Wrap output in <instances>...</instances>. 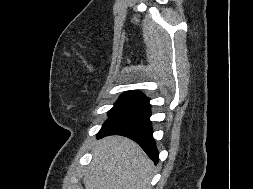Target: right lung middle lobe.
Returning a JSON list of instances; mask_svg holds the SVG:
<instances>
[{
    "instance_id": "dd1d6c3e",
    "label": "right lung middle lobe",
    "mask_w": 253,
    "mask_h": 189,
    "mask_svg": "<svg viewBox=\"0 0 253 189\" xmlns=\"http://www.w3.org/2000/svg\"><path fill=\"white\" fill-rule=\"evenodd\" d=\"M145 96L138 91H128L121 95V97L115 103V106L108 112L109 115L119 111L120 109L142 100Z\"/></svg>"
}]
</instances>
